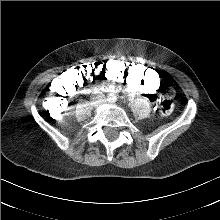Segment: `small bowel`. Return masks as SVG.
I'll list each match as a JSON object with an SVG mask.
<instances>
[{"instance_id": "small-bowel-1", "label": "small bowel", "mask_w": 220, "mask_h": 220, "mask_svg": "<svg viewBox=\"0 0 220 220\" xmlns=\"http://www.w3.org/2000/svg\"><path fill=\"white\" fill-rule=\"evenodd\" d=\"M109 61H110V60H109ZM107 62H108V61H107ZM140 65H142V64H140ZM156 72H157V71H156ZM112 82H113V84L108 87V88H109L110 90H112V91L118 90V84H119V83H122V81H112ZM125 84H126V83H125ZM126 85H127V91H128L130 94L136 95V94L141 93L146 99H148L147 96H148L149 94L156 93V91H158V90L160 89V87H159L157 90H154V91H149V90L139 91V90H137L134 86H131V85H128V84H126ZM160 86H161V84H160Z\"/></svg>"}]
</instances>
